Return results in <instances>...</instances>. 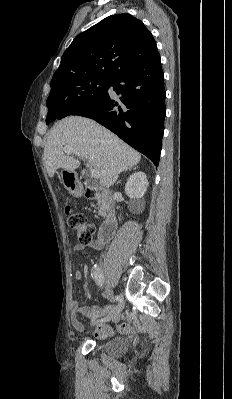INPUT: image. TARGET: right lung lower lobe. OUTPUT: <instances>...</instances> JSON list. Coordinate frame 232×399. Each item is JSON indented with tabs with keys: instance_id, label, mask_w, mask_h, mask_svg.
<instances>
[{
	"instance_id": "98d812e1",
	"label": "right lung lower lobe",
	"mask_w": 232,
	"mask_h": 399,
	"mask_svg": "<svg viewBox=\"0 0 232 399\" xmlns=\"http://www.w3.org/2000/svg\"><path fill=\"white\" fill-rule=\"evenodd\" d=\"M164 74L158 51L134 63L110 78V87L121 95L115 99L108 92L94 105L61 114L91 118L118 135L127 144L158 166L166 113ZM107 89V90H108Z\"/></svg>"
}]
</instances>
